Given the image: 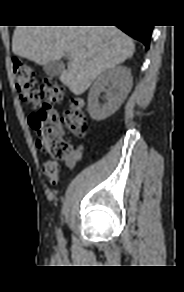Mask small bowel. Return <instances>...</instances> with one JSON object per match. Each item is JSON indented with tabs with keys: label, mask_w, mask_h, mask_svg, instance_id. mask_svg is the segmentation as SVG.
<instances>
[{
	"label": "small bowel",
	"mask_w": 184,
	"mask_h": 292,
	"mask_svg": "<svg viewBox=\"0 0 184 292\" xmlns=\"http://www.w3.org/2000/svg\"><path fill=\"white\" fill-rule=\"evenodd\" d=\"M81 157V148L73 150L71 157L66 161L67 166L74 167Z\"/></svg>",
	"instance_id": "obj_1"
}]
</instances>
